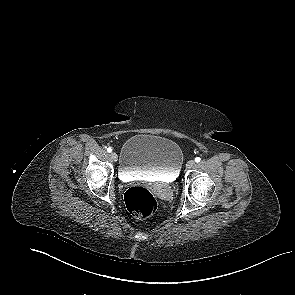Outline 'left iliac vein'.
I'll return each mask as SVG.
<instances>
[{
  "label": "left iliac vein",
  "instance_id": "obj_1",
  "mask_svg": "<svg viewBox=\"0 0 295 295\" xmlns=\"http://www.w3.org/2000/svg\"><path fill=\"white\" fill-rule=\"evenodd\" d=\"M194 166H195V161H194V160H190V161H188L187 164H186V168H187V169H191V168H193Z\"/></svg>",
  "mask_w": 295,
  "mask_h": 295
}]
</instances>
